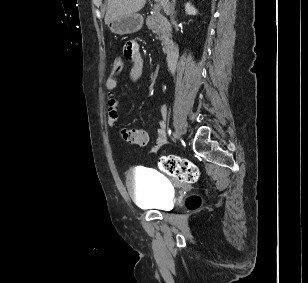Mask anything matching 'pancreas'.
I'll list each match as a JSON object with an SVG mask.
<instances>
[{"label": "pancreas", "instance_id": "1", "mask_svg": "<svg viewBox=\"0 0 308 283\" xmlns=\"http://www.w3.org/2000/svg\"><path fill=\"white\" fill-rule=\"evenodd\" d=\"M146 25L149 29L156 33L158 38L162 41L164 53H169L171 49V26L167 19L159 12L155 11L146 19Z\"/></svg>", "mask_w": 308, "mask_h": 283}]
</instances>
